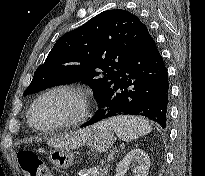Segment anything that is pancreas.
<instances>
[{
    "label": "pancreas",
    "mask_w": 205,
    "mask_h": 176,
    "mask_svg": "<svg viewBox=\"0 0 205 176\" xmlns=\"http://www.w3.org/2000/svg\"><path fill=\"white\" fill-rule=\"evenodd\" d=\"M109 170V164L108 165H101L97 168H91L89 169L90 176H107Z\"/></svg>",
    "instance_id": "cf45deb5"
}]
</instances>
